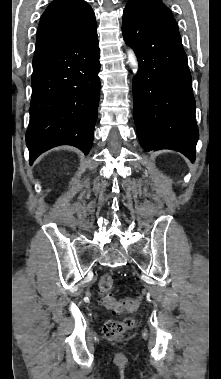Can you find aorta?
Segmentation results:
<instances>
[{
  "label": "aorta",
  "instance_id": "aorta-1",
  "mask_svg": "<svg viewBox=\"0 0 221 379\" xmlns=\"http://www.w3.org/2000/svg\"><path fill=\"white\" fill-rule=\"evenodd\" d=\"M127 53H128L129 63L133 67V71L136 73L137 69H138V63H137V59L135 57V54L133 53V51L131 49H129Z\"/></svg>",
  "mask_w": 221,
  "mask_h": 379
}]
</instances>
